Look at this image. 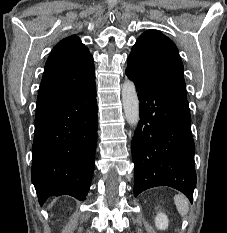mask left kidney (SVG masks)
I'll use <instances>...</instances> for the list:
<instances>
[{"instance_id":"obj_1","label":"left kidney","mask_w":227,"mask_h":233,"mask_svg":"<svg viewBox=\"0 0 227 233\" xmlns=\"http://www.w3.org/2000/svg\"><path fill=\"white\" fill-rule=\"evenodd\" d=\"M169 220L164 213H159L155 217V225L160 230H165L168 227Z\"/></svg>"}]
</instances>
